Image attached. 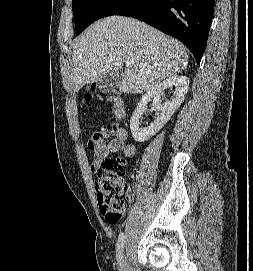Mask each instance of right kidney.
<instances>
[{"mask_svg": "<svg viewBox=\"0 0 253 271\" xmlns=\"http://www.w3.org/2000/svg\"><path fill=\"white\" fill-rule=\"evenodd\" d=\"M168 88H174V94L169 101L162 104L161 97L164 95V90ZM188 89L189 79L187 77L173 76L147 90L130 119V130L134 140L144 142L155 135L180 107ZM151 98L154 99L153 108L156 111L157 117L147 127L143 128L140 126V118L146 111L147 103Z\"/></svg>", "mask_w": 253, "mask_h": 271, "instance_id": "right-kidney-1", "label": "right kidney"}]
</instances>
